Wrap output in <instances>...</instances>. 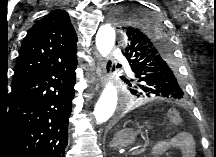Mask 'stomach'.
Listing matches in <instances>:
<instances>
[{"label": "stomach", "instance_id": "stomach-1", "mask_svg": "<svg viewBox=\"0 0 216 157\" xmlns=\"http://www.w3.org/2000/svg\"><path fill=\"white\" fill-rule=\"evenodd\" d=\"M137 134L138 132L133 129H124L115 135L111 146L117 148L127 147L135 141Z\"/></svg>", "mask_w": 216, "mask_h": 157}]
</instances>
